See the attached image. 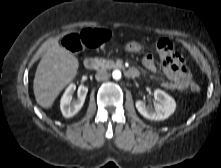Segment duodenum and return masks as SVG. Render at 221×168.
<instances>
[{
	"instance_id": "410a0bca",
	"label": "duodenum",
	"mask_w": 221,
	"mask_h": 168,
	"mask_svg": "<svg viewBox=\"0 0 221 168\" xmlns=\"http://www.w3.org/2000/svg\"><path fill=\"white\" fill-rule=\"evenodd\" d=\"M83 63H84L85 68L88 70L95 69L97 65L96 60L93 57H86ZM137 75H138V71L135 69H127L125 71V76L128 78H133V77H136Z\"/></svg>"
}]
</instances>
